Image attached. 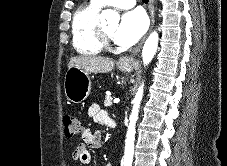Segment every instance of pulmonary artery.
<instances>
[{"label":"pulmonary artery","mask_w":227,"mask_h":166,"mask_svg":"<svg viewBox=\"0 0 227 166\" xmlns=\"http://www.w3.org/2000/svg\"><path fill=\"white\" fill-rule=\"evenodd\" d=\"M94 1L101 5L110 4L119 9H130L136 5V0H94Z\"/></svg>","instance_id":"pulmonary-artery-1"}]
</instances>
